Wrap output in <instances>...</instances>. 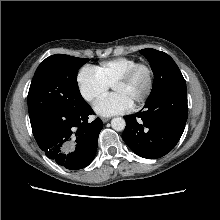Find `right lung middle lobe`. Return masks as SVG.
Returning a JSON list of instances; mask_svg holds the SVG:
<instances>
[{
	"label": "right lung middle lobe",
	"instance_id": "1",
	"mask_svg": "<svg viewBox=\"0 0 220 220\" xmlns=\"http://www.w3.org/2000/svg\"><path fill=\"white\" fill-rule=\"evenodd\" d=\"M89 58L64 54L47 57L37 68L28 93L29 117L52 109L78 111L87 103L80 94L77 70Z\"/></svg>",
	"mask_w": 220,
	"mask_h": 220
}]
</instances>
